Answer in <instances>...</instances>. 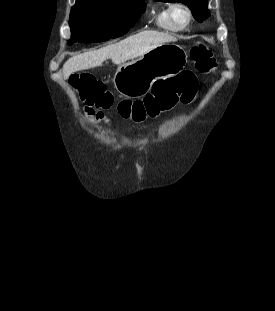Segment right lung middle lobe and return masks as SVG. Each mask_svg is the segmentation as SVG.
Returning <instances> with one entry per match:
<instances>
[{
    "instance_id": "obj_1",
    "label": "right lung middle lobe",
    "mask_w": 275,
    "mask_h": 311,
    "mask_svg": "<svg viewBox=\"0 0 275 311\" xmlns=\"http://www.w3.org/2000/svg\"><path fill=\"white\" fill-rule=\"evenodd\" d=\"M145 11L144 0H90L75 3L70 13L74 42H101L127 33Z\"/></svg>"
}]
</instances>
